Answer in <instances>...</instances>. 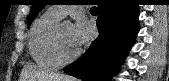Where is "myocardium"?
<instances>
[{"instance_id":"f54148a6","label":"myocardium","mask_w":169,"mask_h":81,"mask_svg":"<svg viewBox=\"0 0 169 81\" xmlns=\"http://www.w3.org/2000/svg\"><path fill=\"white\" fill-rule=\"evenodd\" d=\"M62 23H58L53 31V35H52V51L53 54L55 56V58L57 59V61L59 62V64H67L71 61H73L74 59H76L79 54H80V50L76 49L72 54L70 55H64L61 47H60V26Z\"/></svg>"}]
</instances>
